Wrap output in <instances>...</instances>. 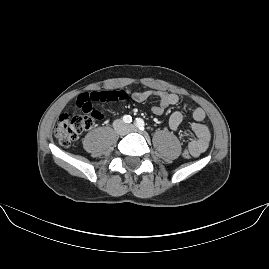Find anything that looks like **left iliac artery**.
<instances>
[{
	"mask_svg": "<svg viewBox=\"0 0 269 269\" xmlns=\"http://www.w3.org/2000/svg\"><path fill=\"white\" fill-rule=\"evenodd\" d=\"M135 125H136L141 131H144V129H145V123H144L143 119H141V118H136V120H135Z\"/></svg>",
	"mask_w": 269,
	"mask_h": 269,
	"instance_id": "44dca946",
	"label": "left iliac artery"
}]
</instances>
